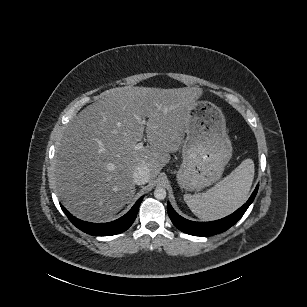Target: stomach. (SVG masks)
<instances>
[{
  "label": "stomach",
  "instance_id": "stomach-1",
  "mask_svg": "<svg viewBox=\"0 0 307 307\" xmlns=\"http://www.w3.org/2000/svg\"><path fill=\"white\" fill-rule=\"evenodd\" d=\"M187 134L182 153L184 163L178 173L181 187L200 190L218 180L232 156L226 120L220 107L198 100L186 118Z\"/></svg>",
  "mask_w": 307,
  "mask_h": 307
}]
</instances>
